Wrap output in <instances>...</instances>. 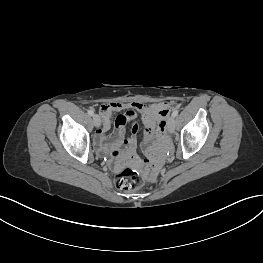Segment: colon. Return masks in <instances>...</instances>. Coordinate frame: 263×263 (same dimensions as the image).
I'll use <instances>...</instances> for the list:
<instances>
[{
    "instance_id": "obj_1",
    "label": "colon",
    "mask_w": 263,
    "mask_h": 263,
    "mask_svg": "<svg viewBox=\"0 0 263 263\" xmlns=\"http://www.w3.org/2000/svg\"><path fill=\"white\" fill-rule=\"evenodd\" d=\"M142 182V174L132 167L123 168L117 173L115 177L116 187L124 192H129L140 188Z\"/></svg>"
}]
</instances>
